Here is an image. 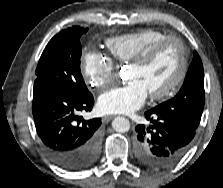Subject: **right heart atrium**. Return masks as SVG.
<instances>
[{"mask_svg":"<svg viewBox=\"0 0 223 188\" xmlns=\"http://www.w3.org/2000/svg\"><path fill=\"white\" fill-rule=\"evenodd\" d=\"M81 73L89 87L102 90L114 78V63L107 56L94 51H88L82 58Z\"/></svg>","mask_w":223,"mask_h":188,"instance_id":"1","label":"right heart atrium"}]
</instances>
